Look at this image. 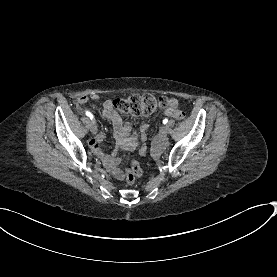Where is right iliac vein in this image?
Returning a JSON list of instances; mask_svg holds the SVG:
<instances>
[{"label":"right iliac vein","mask_w":277,"mask_h":277,"mask_svg":"<svg viewBox=\"0 0 277 277\" xmlns=\"http://www.w3.org/2000/svg\"><path fill=\"white\" fill-rule=\"evenodd\" d=\"M90 131L92 132V134H96L97 133V124L94 120L90 121Z\"/></svg>","instance_id":"right-iliac-vein-1"}]
</instances>
